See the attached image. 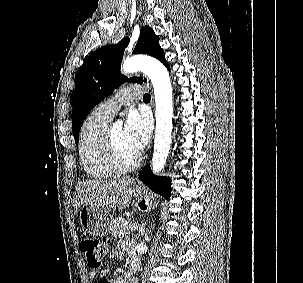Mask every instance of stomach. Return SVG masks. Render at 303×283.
Wrapping results in <instances>:
<instances>
[{
  "instance_id": "0dacf381",
  "label": "stomach",
  "mask_w": 303,
  "mask_h": 283,
  "mask_svg": "<svg viewBox=\"0 0 303 283\" xmlns=\"http://www.w3.org/2000/svg\"><path fill=\"white\" fill-rule=\"evenodd\" d=\"M132 195L138 199L136 206L140 210L152 206L153 197L140 188H133ZM113 220L112 211L105 207L85 204L79 210V221L83 231L94 236H105L110 231Z\"/></svg>"
}]
</instances>
